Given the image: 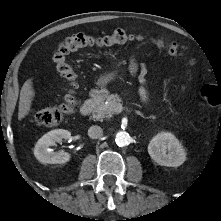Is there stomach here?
Wrapping results in <instances>:
<instances>
[{
  "mask_svg": "<svg viewBox=\"0 0 221 221\" xmlns=\"http://www.w3.org/2000/svg\"><path fill=\"white\" fill-rule=\"evenodd\" d=\"M115 76V73H108L100 77L98 80V84L101 86H105L108 82H110Z\"/></svg>",
  "mask_w": 221,
  "mask_h": 221,
  "instance_id": "obj_1",
  "label": "stomach"
}]
</instances>
